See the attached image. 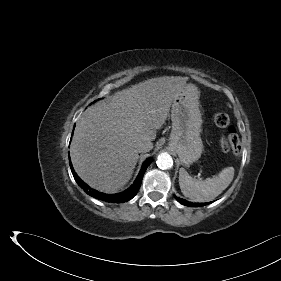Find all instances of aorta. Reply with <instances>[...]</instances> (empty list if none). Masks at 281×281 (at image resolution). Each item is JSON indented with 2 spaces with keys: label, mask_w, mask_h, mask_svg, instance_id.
<instances>
[{
  "label": "aorta",
  "mask_w": 281,
  "mask_h": 281,
  "mask_svg": "<svg viewBox=\"0 0 281 281\" xmlns=\"http://www.w3.org/2000/svg\"><path fill=\"white\" fill-rule=\"evenodd\" d=\"M156 163L160 169H170L173 166V159L168 153L164 152L158 156Z\"/></svg>",
  "instance_id": "1"
}]
</instances>
